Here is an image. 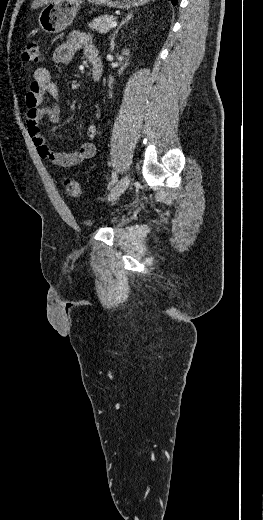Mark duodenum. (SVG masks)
<instances>
[{"label":"duodenum","mask_w":263,"mask_h":520,"mask_svg":"<svg viewBox=\"0 0 263 520\" xmlns=\"http://www.w3.org/2000/svg\"><path fill=\"white\" fill-rule=\"evenodd\" d=\"M92 65V78L94 81H99L102 75V62L98 51H93L88 56Z\"/></svg>","instance_id":"410a0bca"}]
</instances>
